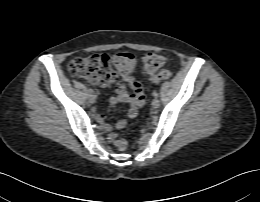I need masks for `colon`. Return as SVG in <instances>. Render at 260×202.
I'll use <instances>...</instances> for the list:
<instances>
[{"label":"colon","instance_id":"obj_1","mask_svg":"<svg viewBox=\"0 0 260 202\" xmlns=\"http://www.w3.org/2000/svg\"><path fill=\"white\" fill-rule=\"evenodd\" d=\"M166 63L165 56L158 53H147L142 58V69L150 74V80L160 83L171 77V72L162 69ZM136 69V60L132 53L123 51L115 54H93L89 57L72 59L68 71L73 76L83 77L93 84L109 85L118 75L129 79ZM113 141L119 151L127 148V142L113 134Z\"/></svg>","mask_w":260,"mask_h":202}]
</instances>
